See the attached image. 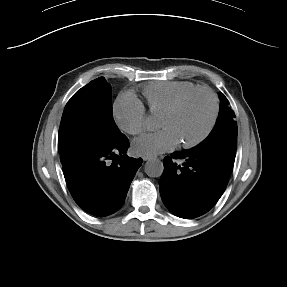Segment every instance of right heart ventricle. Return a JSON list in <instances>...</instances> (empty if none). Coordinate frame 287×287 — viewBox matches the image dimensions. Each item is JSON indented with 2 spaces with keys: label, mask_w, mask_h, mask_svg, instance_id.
<instances>
[{
  "label": "right heart ventricle",
  "mask_w": 287,
  "mask_h": 287,
  "mask_svg": "<svg viewBox=\"0 0 287 287\" xmlns=\"http://www.w3.org/2000/svg\"><path fill=\"white\" fill-rule=\"evenodd\" d=\"M194 88H196V85L188 81L156 82L147 85L143 90V94L146 97L150 111L154 115H162L181 96Z\"/></svg>",
  "instance_id": "obj_1"
}]
</instances>
